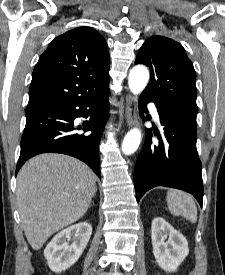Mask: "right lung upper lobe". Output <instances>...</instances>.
<instances>
[{"label": "right lung upper lobe", "mask_w": 225, "mask_h": 275, "mask_svg": "<svg viewBox=\"0 0 225 275\" xmlns=\"http://www.w3.org/2000/svg\"><path fill=\"white\" fill-rule=\"evenodd\" d=\"M109 63L106 41L90 27L56 37L34 68L26 111L98 94L108 86Z\"/></svg>", "instance_id": "cb5924a9"}]
</instances>
